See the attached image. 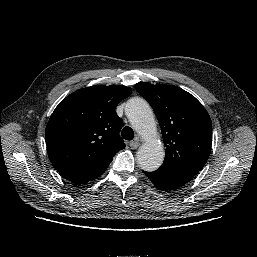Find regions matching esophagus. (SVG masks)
Listing matches in <instances>:
<instances>
[{
  "instance_id": "esophagus-1",
  "label": "esophagus",
  "mask_w": 257,
  "mask_h": 257,
  "mask_svg": "<svg viewBox=\"0 0 257 257\" xmlns=\"http://www.w3.org/2000/svg\"><path fill=\"white\" fill-rule=\"evenodd\" d=\"M131 149H137L139 147V142L137 140L131 141L129 143Z\"/></svg>"
}]
</instances>
